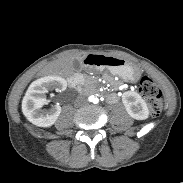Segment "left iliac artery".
Wrapping results in <instances>:
<instances>
[{"label": "left iliac artery", "instance_id": "left-iliac-artery-1", "mask_svg": "<svg viewBox=\"0 0 183 183\" xmlns=\"http://www.w3.org/2000/svg\"><path fill=\"white\" fill-rule=\"evenodd\" d=\"M99 102V99L98 98H95L94 99V103L97 104Z\"/></svg>", "mask_w": 183, "mask_h": 183}]
</instances>
